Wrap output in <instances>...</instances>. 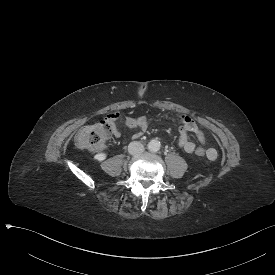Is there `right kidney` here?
Instances as JSON below:
<instances>
[{"mask_svg":"<svg viewBox=\"0 0 275 275\" xmlns=\"http://www.w3.org/2000/svg\"><path fill=\"white\" fill-rule=\"evenodd\" d=\"M106 157H107V155L105 153H99L94 156V159L101 162V161L105 160Z\"/></svg>","mask_w":275,"mask_h":275,"instance_id":"obj_1","label":"right kidney"}]
</instances>
